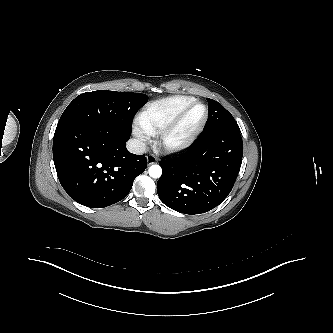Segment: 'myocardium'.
<instances>
[{
  "mask_svg": "<svg viewBox=\"0 0 333 333\" xmlns=\"http://www.w3.org/2000/svg\"><path fill=\"white\" fill-rule=\"evenodd\" d=\"M196 106H202L204 115L199 123L182 137H176V133L184 122L189 112ZM209 117L208 107L197 100L185 106L175 118L158 133L157 146L163 152L177 153L189 148L203 131Z\"/></svg>",
  "mask_w": 333,
  "mask_h": 333,
  "instance_id": "1",
  "label": "myocardium"
}]
</instances>
